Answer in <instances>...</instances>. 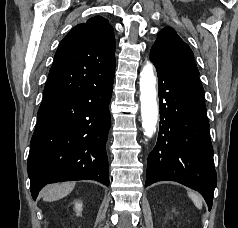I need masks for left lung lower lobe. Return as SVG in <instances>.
Here are the masks:
<instances>
[{"instance_id": "left-lung-lower-lobe-1", "label": "left lung lower lobe", "mask_w": 238, "mask_h": 228, "mask_svg": "<svg viewBox=\"0 0 238 228\" xmlns=\"http://www.w3.org/2000/svg\"><path fill=\"white\" fill-rule=\"evenodd\" d=\"M158 73L160 131L148 156L145 186L175 181L200 192L212 207L217 175L200 79L150 55Z\"/></svg>"}]
</instances>
